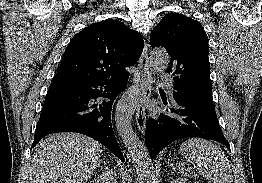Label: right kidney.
I'll use <instances>...</instances> for the list:
<instances>
[{
    "instance_id": "1",
    "label": "right kidney",
    "mask_w": 262,
    "mask_h": 183,
    "mask_svg": "<svg viewBox=\"0 0 262 183\" xmlns=\"http://www.w3.org/2000/svg\"><path fill=\"white\" fill-rule=\"evenodd\" d=\"M90 183H117L112 171H105Z\"/></svg>"
}]
</instances>
